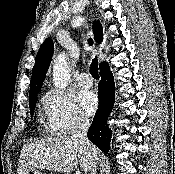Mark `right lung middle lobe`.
<instances>
[{
	"mask_svg": "<svg viewBox=\"0 0 175 174\" xmlns=\"http://www.w3.org/2000/svg\"><path fill=\"white\" fill-rule=\"evenodd\" d=\"M35 102H36V98H34V99H32V100L29 101L31 116H33V113H34Z\"/></svg>",
	"mask_w": 175,
	"mask_h": 174,
	"instance_id": "1",
	"label": "right lung middle lobe"
}]
</instances>
